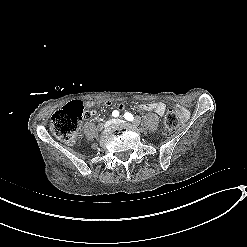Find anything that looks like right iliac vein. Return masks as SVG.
I'll list each match as a JSON object with an SVG mask.
<instances>
[{"mask_svg":"<svg viewBox=\"0 0 247 247\" xmlns=\"http://www.w3.org/2000/svg\"><path fill=\"white\" fill-rule=\"evenodd\" d=\"M114 121L113 120H108L104 123V127L108 128Z\"/></svg>","mask_w":247,"mask_h":247,"instance_id":"right-iliac-vein-1","label":"right iliac vein"}]
</instances>
